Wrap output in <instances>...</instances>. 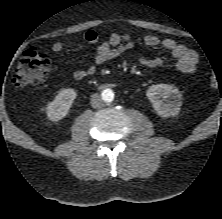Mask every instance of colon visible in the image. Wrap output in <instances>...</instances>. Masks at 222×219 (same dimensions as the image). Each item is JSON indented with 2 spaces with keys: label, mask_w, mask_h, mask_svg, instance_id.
I'll return each mask as SVG.
<instances>
[{
  "label": "colon",
  "mask_w": 222,
  "mask_h": 219,
  "mask_svg": "<svg viewBox=\"0 0 222 219\" xmlns=\"http://www.w3.org/2000/svg\"><path fill=\"white\" fill-rule=\"evenodd\" d=\"M50 57L36 49L26 50L19 59L12 76L14 87L21 89L45 81L50 73ZM211 85L216 84V77L210 76Z\"/></svg>",
  "instance_id": "colon-1"
}]
</instances>
